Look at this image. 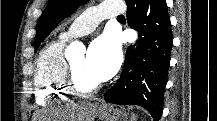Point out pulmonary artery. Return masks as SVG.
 <instances>
[{
	"mask_svg": "<svg viewBox=\"0 0 217 121\" xmlns=\"http://www.w3.org/2000/svg\"><path fill=\"white\" fill-rule=\"evenodd\" d=\"M125 7L118 2H104L93 6L78 16L60 37L68 40L92 32L105 18H117L124 13Z\"/></svg>",
	"mask_w": 217,
	"mask_h": 121,
	"instance_id": "obj_1",
	"label": "pulmonary artery"
}]
</instances>
